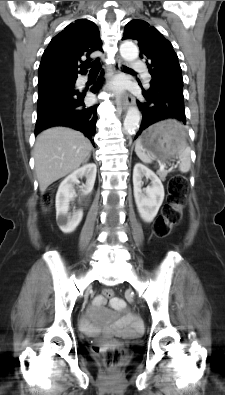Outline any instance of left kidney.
Returning <instances> with one entry per match:
<instances>
[{
  "label": "left kidney",
  "instance_id": "1",
  "mask_svg": "<svg viewBox=\"0 0 225 395\" xmlns=\"http://www.w3.org/2000/svg\"><path fill=\"white\" fill-rule=\"evenodd\" d=\"M143 177L151 180V186L142 189ZM134 198L138 212L145 222H151L164 200V187L160 178L141 163L133 169Z\"/></svg>",
  "mask_w": 225,
  "mask_h": 395
}]
</instances>
